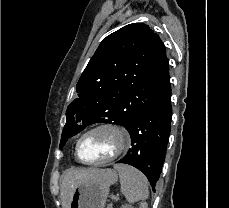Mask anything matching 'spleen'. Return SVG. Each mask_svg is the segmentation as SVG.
Returning <instances> with one entry per match:
<instances>
[{"label":"spleen","instance_id":"spleen-1","mask_svg":"<svg viewBox=\"0 0 229 208\" xmlns=\"http://www.w3.org/2000/svg\"><path fill=\"white\" fill-rule=\"evenodd\" d=\"M120 178L121 192L124 194L127 202L134 204L139 200H147L149 196L148 182L142 172L126 166V164H115ZM140 208H147L146 202H140Z\"/></svg>","mask_w":229,"mask_h":208}]
</instances>
